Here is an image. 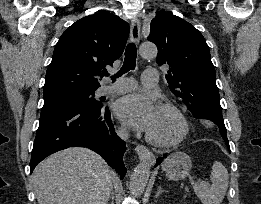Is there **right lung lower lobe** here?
I'll use <instances>...</instances> for the list:
<instances>
[{"mask_svg": "<svg viewBox=\"0 0 261 204\" xmlns=\"http://www.w3.org/2000/svg\"><path fill=\"white\" fill-rule=\"evenodd\" d=\"M69 147L90 148L100 154L121 179L126 174L125 142L116 135L109 109L101 102L43 107L32 150L31 172L47 156Z\"/></svg>", "mask_w": 261, "mask_h": 204, "instance_id": "right-lung-lower-lobe-1", "label": "right lung lower lobe"}]
</instances>
